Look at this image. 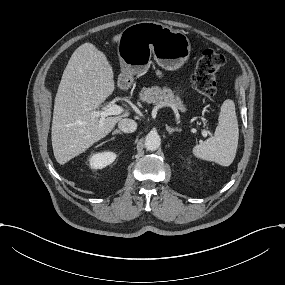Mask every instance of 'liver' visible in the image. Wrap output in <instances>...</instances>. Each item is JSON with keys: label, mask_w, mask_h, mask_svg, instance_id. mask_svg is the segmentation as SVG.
<instances>
[{"label": "liver", "mask_w": 285, "mask_h": 285, "mask_svg": "<svg viewBox=\"0 0 285 285\" xmlns=\"http://www.w3.org/2000/svg\"><path fill=\"white\" fill-rule=\"evenodd\" d=\"M121 37L122 33L113 35L111 43L118 44ZM114 75L110 60L93 43L80 45L72 54L56 95L52 121V147L59 165L85 153L131 115L125 107L120 115L105 118L100 127V119L88 112L100 108L113 94Z\"/></svg>", "instance_id": "liver-1"}]
</instances>
